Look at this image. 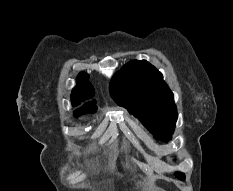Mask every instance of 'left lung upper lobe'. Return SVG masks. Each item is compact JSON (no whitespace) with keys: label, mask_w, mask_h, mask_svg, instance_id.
<instances>
[{"label":"left lung upper lobe","mask_w":233,"mask_h":191,"mask_svg":"<svg viewBox=\"0 0 233 191\" xmlns=\"http://www.w3.org/2000/svg\"><path fill=\"white\" fill-rule=\"evenodd\" d=\"M114 101L137 117L156 139H171L177 120L174 95L162 74L145 60H133L117 71L110 83ZM177 178L185 177L178 173Z\"/></svg>","instance_id":"left-lung-upper-lobe-1"}]
</instances>
